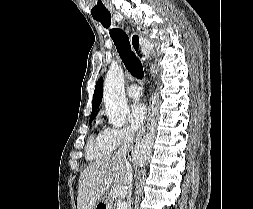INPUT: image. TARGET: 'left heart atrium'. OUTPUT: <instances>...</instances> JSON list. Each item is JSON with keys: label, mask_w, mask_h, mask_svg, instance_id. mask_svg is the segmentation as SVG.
I'll return each instance as SVG.
<instances>
[{"label": "left heart atrium", "mask_w": 253, "mask_h": 209, "mask_svg": "<svg viewBox=\"0 0 253 209\" xmlns=\"http://www.w3.org/2000/svg\"><path fill=\"white\" fill-rule=\"evenodd\" d=\"M147 119V108L141 102H136L131 106L129 113V124L132 131H138Z\"/></svg>", "instance_id": "left-heart-atrium-1"}]
</instances>
